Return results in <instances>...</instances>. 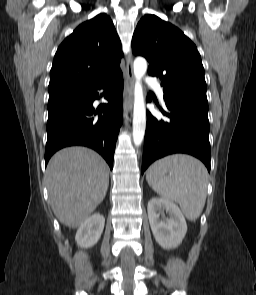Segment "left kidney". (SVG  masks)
Instances as JSON below:
<instances>
[{"instance_id":"left-kidney-1","label":"left kidney","mask_w":256,"mask_h":295,"mask_svg":"<svg viewBox=\"0 0 256 295\" xmlns=\"http://www.w3.org/2000/svg\"><path fill=\"white\" fill-rule=\"evenodd\" d=\"M152 233L157 243L164 249L177 248L183 241L187 224L180 208L169 200L154 197L147 206ZM164 211L169 217H164ZM160 215L163 219H160Z\"/></svg>"}]
</instances>
